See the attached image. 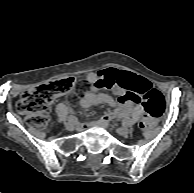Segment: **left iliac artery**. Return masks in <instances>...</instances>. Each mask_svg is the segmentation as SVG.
I'll return each mask as SVG.
<instances>
[{
  "label": "left iliac artery",
  "mask_w": 194,
  "mask_h": 193,
  "mask_svg": "<svg viewBox=\"0 0 194 193\" xmlns=\"http://www.w3.org/2000/svg\"><path fill=\"white\" fill-rule=\"evenodd\" d=\"M131 122V120H130V118H125L124 120H123V124L125 125V124H129Z\"/></svg>",
  "instance_id": "obj_1"
}]
</instances>
